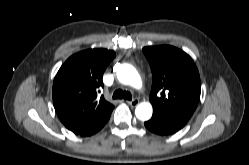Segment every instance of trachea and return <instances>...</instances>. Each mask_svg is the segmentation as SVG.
I'll list each match as a JSON object with an SVG mask.
<instances>
[{
	"label": "trachea",
	"mask_w": 249,
	"mask_h": 165,
	"mask_svg": "<svg viewBox=\"0 0 249 165\" xmlns=\"http://www.w3.org/2000/svg\"><path fill=\"white\" fill-rule=\"evenodd\" d=\"M125 99V100H131L132 99V95L130 92L128 91H123L121 89L116 90L113 93V99Z\"/></svg>",
	"instance_id": "3493384b"
}]
</instances>
